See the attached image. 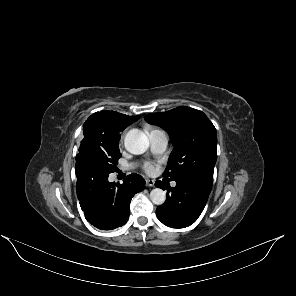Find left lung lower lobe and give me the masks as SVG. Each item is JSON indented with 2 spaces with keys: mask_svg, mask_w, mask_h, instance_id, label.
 Here are the masks:
<instances>
[{
  "mask_svg": "<svg viewBox=\"0 0 296 296\" xmlns=\"http://www.w3.org/2000/svg\"><path fill=\"white\" fill-rule=\"evenodd\" d=\"M170 188L166 201L156 209L158 219L172 228H184L193 224L202 213L208 200L213 179L208 177H190L176 181ZM155 185L166 189L161 181Z\"/></svg>",
  "mask_w": 296,
  "mask_h": 296,
  "instance_id": "1",
  "label": "left lung lower lobe"
}]
</instances>
